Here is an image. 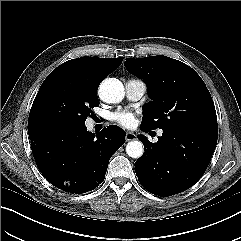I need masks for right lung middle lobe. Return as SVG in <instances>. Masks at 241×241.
I'll return each mask as SVG.
<instances>
[{
    "mask_svg": "<svg viewBox=\"0 0 241 241\" xmlns=\"http://www.w3.org/2000/svg\"><path fill=\"white\" fill-rule=\"evenodd\" d=\"M98 105L97 93L86 90L70 73L52 71L31 107L28 132L83 125Z\"/></svg>",
    "mask_w": 241,
    "mask_h": 241,
    "instance_id": "obj_1",
    "label": "right lung middle lobe"
}]
</instances>
